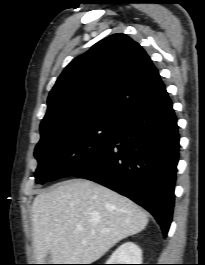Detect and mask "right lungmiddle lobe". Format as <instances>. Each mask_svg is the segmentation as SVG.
Here are the masks:
<instances>
[{"mask_svg":"<svg viewBox=\"0 0 205 265\" xmlns=\"http://www.w3.org/2000/svg\"><path fill=\"white\" fill-rule=\"evenodd\" d=\"M118 123L96 122L56 133L41 132L34 152L36 183L74 175L87 166L115 137Z\"/></svg>","mask_w":205,"mask_h":265,"instance_id":"obj_1","label":"right lung middle lobe"}]
</instances>
